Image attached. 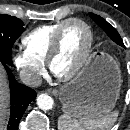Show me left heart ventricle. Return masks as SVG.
<instances>
[{
  "label": "left heart ventricle",
  "instance_id": "obj_1",
  "mask_svg": "<svg viewBox=\"0 0 130 130\" xmlns=\"http://www.w3.org/2000/svg\"><path fill=\"white\" fill-rule=\"evenodd\" d=\"M87 41L88 34L82 25L68 24L61 36L60 51L52 64L53 71L59 75L70 72L81 59Z\"/></svg>",
  "mask_w": 130,
  "mask_h": 130
}]
</instances>
